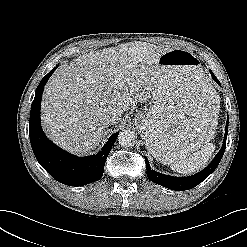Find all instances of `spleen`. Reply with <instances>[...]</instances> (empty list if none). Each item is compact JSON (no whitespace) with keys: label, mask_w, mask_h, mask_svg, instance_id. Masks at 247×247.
<instances>
[{"label":"spleen","mask_w":247,"mask_h":247,"mask_svg":"<svg viewBox=\"0 0 247 247\" xmlns=\"http://www.w3.org/2000/svg\"><path fill=\"white\" fill-rule=\"evenodd\" d=\"M219 101V96H217ZM214 134V131H213ZM215 150L212 143H206L201 150L193 153L188 159L180 160L170 165L173 171L181 174H190L201 170L207 163Z\"/></svg>","instance_id":"spleen-1"}]
</instances>
